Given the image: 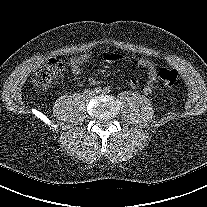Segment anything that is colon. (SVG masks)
I'll list each match as a JSON object with an SVG mask.
<instances>
[{"label": "colon", "instance_id": "colon-1", "mask_svg": "<svg viewBox=\"0 0 207 207\" xmlns=\"http://www.w3.org/2000/svg\"><path fill=\"white\" fill-rule=\"evenodd\" d=\"M62 71L63 63L58 59H51L36 74L34 85L41 89L48 88L56 82ZM158 75L166 87L174 86L178 80V72L175 69L163 68Z\"/></svg>", "mask_w": 207, "mask_h": 207}]
</instances>
